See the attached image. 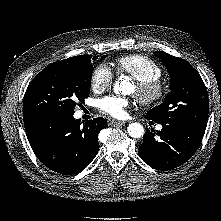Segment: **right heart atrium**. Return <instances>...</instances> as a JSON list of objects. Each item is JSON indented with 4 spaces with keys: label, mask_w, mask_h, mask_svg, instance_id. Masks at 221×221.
Instances as JSON below:
<instances>
[{
    "label": "right heart atrium",
    "mask_w": 221,
    "mask_h": 221,
    "mask_svg": "<svg viewBox=\"0 0 221 221\" xmlns=\"http://www.w3.org/2000/svg\"><path fill=\"white\" fill-rule=\"evenodd\" d=\"M113 79L112 70L105 64H99L91 74V88L95 92H103L112 85Z\"/></svg>",
    "instance_id": "obj_1"
}]
</instances>
